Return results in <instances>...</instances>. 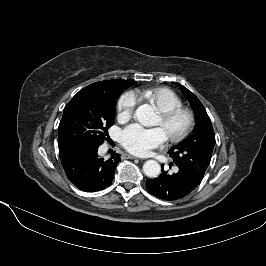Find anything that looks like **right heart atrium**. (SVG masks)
Returning <instances> with one entry per match:
<instances>
[{
    "label": "right heart atrium",
    "instance_id": "obj_1",
    "mask_svg": "<svg viewBox=\"0 0 266 266\" xmlns=\"http://www.w3.org/2000/svg\"><path fill=\"white\" fill-rule=\"evenodd\" d=\"M139 102V95L136 91L125 92L118 102V118L120 120L128 119L134 112Z\"/></svg>",
    "mask_w": 266,
    "mask_h": 266
}]
</instances>
